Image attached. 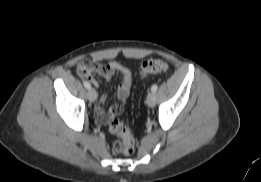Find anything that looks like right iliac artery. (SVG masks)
<instances>
[{"mask_svg": "<svg viewBox=\"0 0 261 182\" xmlns=\"http://www.w3.org/2000/svg\"><path fill=\"white\" fill-rule=\"evenodd\" d=\"M84 87L87 88V89H90L91 88V85L89 82L85 81L84 83Z\"/></svg>", "mask_w": 261, "mask_h": 182, "instance_id": "right-iliac-artery-1", "label": "right iliac artery"}]
</instances>
